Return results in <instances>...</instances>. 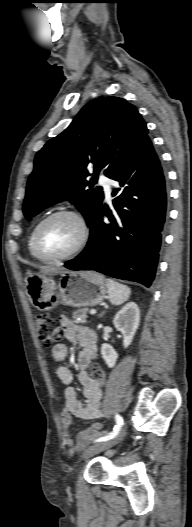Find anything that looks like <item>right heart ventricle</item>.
I'll return each instance as SVG.
<instances>
[{
    "label": "right heart ventricle",
    "instance_id": "right-heart-ventricle-1",
    "mask_svg": "<svg viewBox=\"0 0 192 527\" xmlns=\"http://www.w3.org/2000/svg\"><path fill=\"white\" fill-rule=\"evenodd\" d=\"M36 225L34 226L32 232L30 234V237H29V249H30V252H31L32 256H34V257H36V256H35V254L33 252V248H32V238H33V232H34V229H35Z\"/></svg>",
    "mask_w": 192,
    "mask_h": 527
}]
</instances>
